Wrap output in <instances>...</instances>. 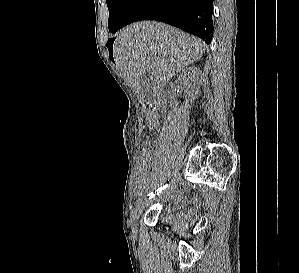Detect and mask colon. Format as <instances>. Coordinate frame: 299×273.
<instances>
[{
	"instance_id": "obj_1",
	"label": "colon",
	"mask_w": 299,
	"mask_h": 273,
	"mask_svg": "<svg viewBox=\"0 0 299 273\" xmlns=\"http://www.w3.org/2000/svg\"><path fill=\"white\" fill-rule=\"evenodd\" d=\"M152 143L149 139H145L142 142V150L151 151Z\"/></svg>"
}]
</instances>
